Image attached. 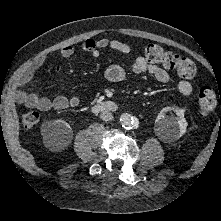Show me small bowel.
I'll return each mask as SVG.
<instances>
[{
  "instance_id": "c3829d8e",
  "label": "small bowel",
  "mask_w": 221,
  "mask_h": 221,
  "mask_svg": "<svg viewBox=\"0 0 221 221\" xmlns=\"http://www.w3.org/2000/svg\"><path fill=\"white\" fill-rule=\"evenodd\" d=\"M112 49L124 55L131 53V47L122 41L101 37L98 39H84L77 46L66 45L59 49L58 54L62 58L72 57L77 50L88 53L92 57H98L101 50ZM46 57L40 58L31 65L19 78L18 89L15 93L17 102L25 104L29 108H35L40 111L64 110L68 107H77L80 104L78 96L67 97L58 95L52 99L41 96L36 92H26L25 87L31 82L35 73L44 64ZM57 71H59L57 69ZM131 71L134 74L147 73L152 75L158 82L168 83L171 80L170 74L163 67L150 63L143 56L136 57L131 64ZM105 77L108 81L119 83L125 80L126 70L118 64L110 65L105 71ZM178 91L183 96H190L193 92L192 84L187 80H180L177 84Z\"/></svg>"
}]
</instances>
